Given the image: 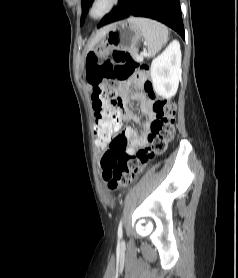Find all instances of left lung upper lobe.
<instances>
[{
	"label": "left lung upper lobe",
	"mask_w": 238,
	"mask_h": 278,
	"mask_svg": "<svg viewBox=\"0 0 238 278\" xmlns=\"http://www.w3.org/2000/svg\"><path fill=\"white\" fill-rule=\"evenodd\" d=\"M91 0H82L81 5H82V19H81V24L83 23V19L85 17V14L88 10V6Z\"/></svg>",
	"instance_id": "left-lung-upper-lobe-1"
}]
</instances>
